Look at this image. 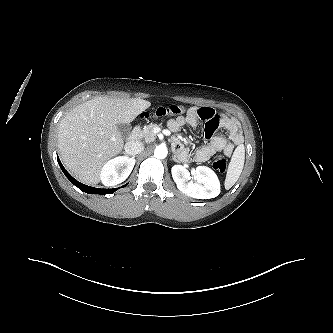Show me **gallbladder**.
Wrapping results in <instances>:
<instances>
[{"mask_svg": "<svg viewBox=\"0 0 333 333\" xmlns=\"http://www.w3.org/2000/svg\"><path fill=\"white\" fill-rule=\"evenodd\" d=\"M116 126L123 136H127L130 133V126L128 124L118 123Z\"/></svg>", "mask_w": 333, "mask_h": 333, "instance_id": "obj_1", "label": "gallbladder"}]
</instances>
